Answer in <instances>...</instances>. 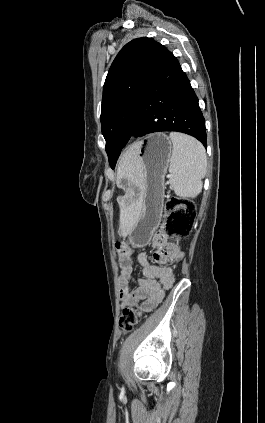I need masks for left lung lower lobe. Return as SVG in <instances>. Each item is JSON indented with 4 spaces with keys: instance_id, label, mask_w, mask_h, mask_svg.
Instances as JSON below:
<instances>
[{
    "instance_id": "left-lung-lower-lobe-1",
    "label": "left lung lower lobe",
    "mask_w": 265,
    "mask_h": 423,
    "mask_svg": "<svg viewBox=\"0 0 265 423\" xmlns=\"http://www.w3.org/2000/svg\"><path fill=\"white\" fill-rule=\"evenodd\" d=\"M176 131L197 138L205 147V120L190 81L176 57L163 45L138 99L133 127L136 137Z\"/></svg>"
}]
</instances>
